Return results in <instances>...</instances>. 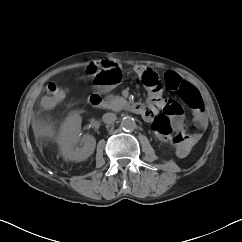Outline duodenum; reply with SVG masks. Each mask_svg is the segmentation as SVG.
<instances>
[{"label": "duodenum", "mask_w": 242, "mask_h": 242, "mask_svg": "<svg viewBox=\"0 0 242 242\" xmlns=\"http://www.w3.org/2000/svg\"><path fill=\"white\" fill-rule=\"evenodd\" d=\"M89 103L96 108H106L107 102L100 92H94L89 96ZM127 109L137 115H143L146 111V107L140 103H132L127 106Z\"/></svg>", "instance_id": "duodenum-1"}]
</instances>
